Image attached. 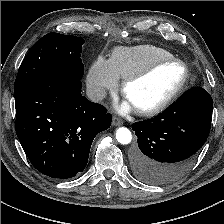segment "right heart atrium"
Wrapping results in <instances>:
<instances>
[{
  "label": "right heart atrium",
  "instance_id": "1",
  "mask_svg": "<svg viewBox=\"0 0 224 224\" xmlns=\"http://www.w3.org/2000/svg\"><path fill=\"white\" fill-rule=\"evenodd\" d=\"M119 85V78L115 75L110 62L99 57L90 67L87 75V88L91 97L102 100L108 91H114Z\"/></svg>",
  "mask_w": 224,
  "mask_h": 224
}]
</instances>
